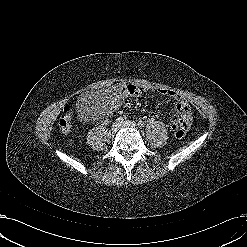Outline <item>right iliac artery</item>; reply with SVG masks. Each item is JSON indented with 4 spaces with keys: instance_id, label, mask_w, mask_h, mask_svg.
I'll return each instance as SVG.
<instances>
[{
    "instance_id": "obj_1",
    "label": "right iliac artery",
    "mask_w": 247,
    "mask_h": 247,
    "mask_svg": "<svg viewBox=\"0 0 247 247\" xmlns=\"http://www.w3.org/2000/svg\"><path fill=\"white\" fill-rule=\"evenodd\" d=\"M117 120H118L119 122H120V121L122 122V121H123V118L120 117V118H118Z\"/></svg>"
}]
</instances>
